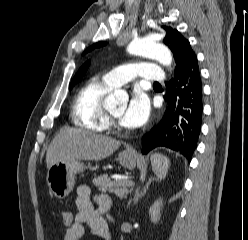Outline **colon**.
<instances>
[{
	"label": "colon",
	"instance_id": "1",
	"mask_svg": "<svg viewBox=\"0 0 248 240\" xmlns=\"http://www.w3.org/2000/svg\"><path fill=\"white\" fill-rule=\"evenodd\" d=\"M73 218L74 214L71 210H63L61 212V221L65 227L69 226L72 223Z\"/></svg>",
	"mask_w": 248,
	"mask_h": 240
}]
</instances>
